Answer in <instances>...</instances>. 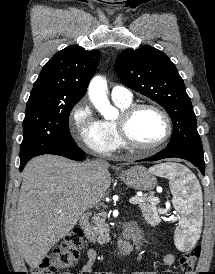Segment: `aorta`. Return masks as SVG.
<instances>
[{
    "mask_svg": "<svg viewBox=\"0 0 215 274\" xmlns=\"http://www.w3.org/2000/svg\"><path fill=\"white\" fill-rule=\"evenodd\" d=\"M106 90V81L101 76H96L90 82L88 94L95 108L101 115L105 119H113L117 117L118 111L110 104L106 96Z\"/></svg>",
    "mask_w": 215,
    "mask_h": 274,
    "instance_id": "obj_1",
    "label": "aorta"
}]
</instances>
